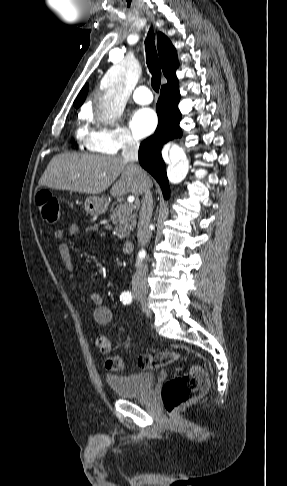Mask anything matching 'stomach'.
<instances>
[{
	"label": "stomach",
	"instance_id": "0dacf381",
	"mask_svg": "<svg viewBox=\"0 0 287 486\" xmlns=\"http://www.w3.org/2000/svg\"><path fill=\"white\" fill-rule=\"evenodd\" d=\"M106 206V202L97 196H89L84 202L85 211L90 215H99L104 213Z\"/></svg>",
	"mask_w": 287,
	"mask_h": 486
}]
</instances>
